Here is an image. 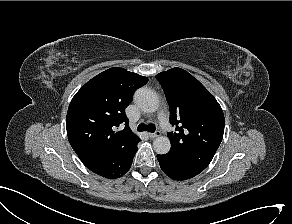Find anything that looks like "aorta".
<instances>
[{
	"label": "aorta",
	"instance_id": "762f6f07",
	"mask_svg": "<svg viewBox=\"0 0 292 224\" xmlns=\"http://www.w3.org/2000/svg\"><path fill=\"white\" fill-rule=\"evenodd\" d=\"M134 101L143 111L152 113L159 108V99L154 91L148 88H140L136 91ZM171 143L168 137L158 136L153 141V148L157 154L169 152Z\"/></svg>",
	"mask_w": 292,
	"mask_h": 224
}]
</instances>
